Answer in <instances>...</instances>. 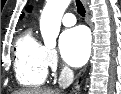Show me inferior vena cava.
Here are the masks:
<instances>
[{
    "mask_svg": "<svg viewBox=\"0 0 121 94\" xmlns=\"http://www.w3.org/2000/svg\"><path fill=\"white\" fill-rule=\"evenodd\" d=\"M73 80H74L73 71L70 68L65 67L61 72L58 84L61 88L65 89L72 84Z\"/></svg>",
    "mask_w": 121,
    "mask_h": 94,
    "instance_id": "1",
    "label": "inferior vena cava"
}]
</instances>
